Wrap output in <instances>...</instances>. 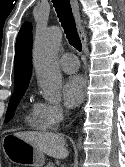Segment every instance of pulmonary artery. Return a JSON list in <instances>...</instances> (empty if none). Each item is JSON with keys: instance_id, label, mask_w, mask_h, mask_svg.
<instances>
[{"instance_id": "1", "label": "pulmonary artery", "mask_w": 125, "mask_h": 167, "mask_svg": "<svg viewBox=\"0 0 125 167\" xmlns=\"http://www.w3.org/2000/svg\"><path fill=\"white\" fill-rule=\"evenodd\" d=\"M59 65L61 69L69 74L77 72L79 68L78 59L72 53H64L59 58Z\"/></svg>"}]
</instances>
